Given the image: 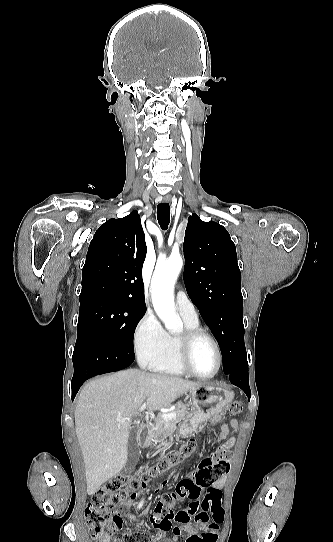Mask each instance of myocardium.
<instances>
[{
    "label": "myocardium",
    "instance_id": "myocardium-1",
    "mask_svg": "<svg viewBox=\"0 0 333 542\" xmlns=\"http://www.w3.org/2000/svg\"><path fill=\"white\" fill-rule=\"evenodd\" d=\"M200 339H207L213 345L217 355L216 370L210 375H200L196 373L190 365V356L193 345ZM177 356L182 369L188 375L198 379H212L220 371L222 366V352L217 340L208 332L201 328L188 329L178 337L177 341Z\"/></svg>",
    "mask_w": 333,
    "mask_h": 542
}]
</instances>
